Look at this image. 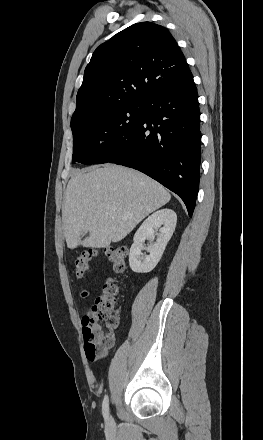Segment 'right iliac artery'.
Segmentation results:
<instances>
[{"mask_svg":"<svg viewBox=\"0 0 263 440\" xmlns=\"http://www.w3.org/2000/svg\"><path fill=\"white\" fill-rule=\"evenodd\" d=\"M102 412H103L104 419L107 420L108 416H109V400H108V396H105V398L103 400Z\"/></svg>","mask_w":263,"mask_h":440,"instance_id":"right-iliac-artery-1","label":"right iliac artery"}]
</instances>
